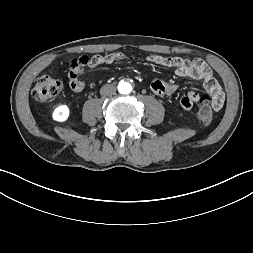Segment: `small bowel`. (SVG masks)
I'll use <instances>...</instances> for the list:
<instances>
[{
  "label": "small bowel",
  "mask_w": 253,
  "mask_h": 253,
  "mask_svg": "<svg viewBox=\"0 0 253 253\" xmlns=\"http://www.w3.org/2000/svg\"><path fill=\"white\" fill-rule=\"evenodd\" d=\"M114 60H121L124 58L122 53L110 54ZM84 65L90 64L87 56L78 57ZM150 63L162 67H175L176 74L182 77H191L201 80L204 83L205 89L212 96L211 105L215 110H220L224 105V92L215 79L211 69L202 60H185L177 57H162L158 55H150L147 57ZM112 61V62H113ZM111 63V62H109ZM151 90L158 97H165L171 94L176 86L169 83L162 78H154L150 84ZM199 100V94L195 91H189L181 100V107L185 111L193 109L194 104Z\"/></svg>",
  "instance_id": "obj_1"
}]
</instances>
